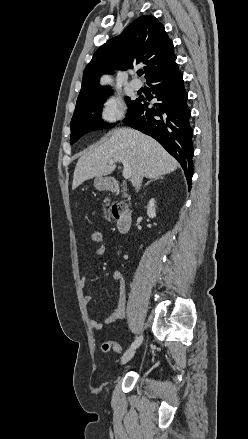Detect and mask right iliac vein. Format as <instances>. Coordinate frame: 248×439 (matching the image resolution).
Segmentation results:
<instances>
[{"mask_svg": "<svg viewBox=\"0 0 248 439\" xmlns=\"http://www.w3.org/2000/svg\"><path fill=\"white\" fill-rule=\"evenodd\" d=\"M136 348L131 347L123 354V356L121 357V362H120L121 365L127 363L128 361H130L134 357L135 352H136Z\"/></svg>", "mask_w": 248, "mask_h": 439, "instance_id": "63e3f726", "label": "right iliac vein"}]
</instances>
